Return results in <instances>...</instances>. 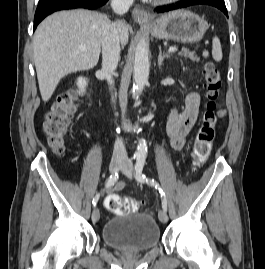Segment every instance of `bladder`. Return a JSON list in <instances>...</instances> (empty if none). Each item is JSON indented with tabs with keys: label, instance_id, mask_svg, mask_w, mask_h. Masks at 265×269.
I'll use <instances>...</instances> for the list:
<instances>
[{
	"label": "bladder",
	"instance_id": "bladder-1",
	"mask_svg": "<svg viewBox=\"0 0 265 269\" xmlns=\"http://www.w3.org/2000/svg\"><path fill=\"white\" fill-rule=\"evenodd\" d=\"M103 241L123 251H147L160 242V229L150 214L135 213L112 218L105 223Z\"/></svg>",
	"mask_w": 265,
	"mask_h": 269
}]
</instances>
